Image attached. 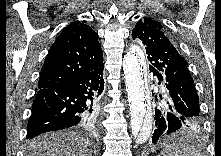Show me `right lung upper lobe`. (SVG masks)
Listing matches in <instances>:
<instances>
[{
    "instance_id": "obj_1",
    "label": "right lung upper lobe",
    "mask_w": 221,
    "mask_h": 156,
    "mask_svg": "<svg viewBox=\"0 0 221 156\" xmlns=\"http://www.w3.org/2000/svg\"><path fill=\"white\" fill-rule=\"evenodd\" d=\"M103 65L98 34L91 27L74 21L57 37L44 62L39 89H50Z\"/></svg>"
}]
</instances>
